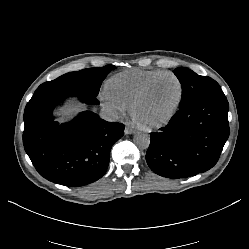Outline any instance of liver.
<instances>
[{
    "label": "liver",
    "instance_id": "liver-1",
    "mask_svg": "<svg viewBox=\"0 0 249 249\" xmlns=\"http://www.w3.org/2000/svg\"><path fill=\"white\" fill-rule=\"evenodd\" d=\"M86 107L83 105H76V106H70L66 105L64 108L60 109V112H55V114H63L65 116H69L68 118H71L73 115H75L77 112L84 110ZM61 122L65 121V119H60Z\"/></svg>",
    "mask_w": 249,
    "mask_h": 249
}]
</instances>
